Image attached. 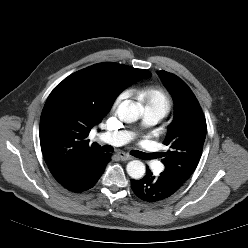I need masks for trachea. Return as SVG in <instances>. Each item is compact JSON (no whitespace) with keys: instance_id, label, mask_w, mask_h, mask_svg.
<instances>
[{"instance_id":"trachea-1","label":"trachea","mask_w":248,"mask_h":248,"mask_svg":"<svg viewBox=\"0 0 248 248\" xmlns=\"http://www.w3.org/2000/svg\"><path fill=\"white\" fill-rule=\"evenodd\" d=\"M103 150L105 152H111L112 151V147L109 146V145H105L103 147ZM133 155L136 156V157L142 158V159H148V158H153L154 157L153 154H146V153H142V152H139V151L133 152Z\"/></svg>"}]
</instances>
